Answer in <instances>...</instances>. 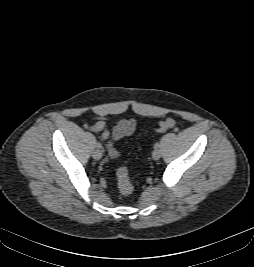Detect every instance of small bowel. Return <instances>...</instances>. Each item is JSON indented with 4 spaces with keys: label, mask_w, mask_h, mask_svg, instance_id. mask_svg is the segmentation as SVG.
I'll list each match as a JSON object with an SVG mask.
<instances>
[{
    "label": "small bowel",
    "mask_w": 254,
    "mask_h": 267,
    "mask_svg": "<svg viewBox=\"0 0 254 267\" xmlns=\"http://www.w3.org/2000/svg\"><path fill=\"white\" fill-rule=\"evenodd\" d=\"M88 128L94 132H100L102 139L107 142L109 155L117 157L120 155V152L114 147V142L131 135L136 129V121L134 119L121 120L109 131L106 121L100 119Z\"/></svg>",
    "instance_id": "1"
}]
</instances>
